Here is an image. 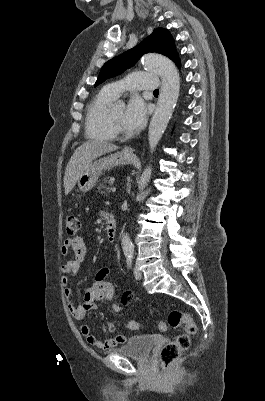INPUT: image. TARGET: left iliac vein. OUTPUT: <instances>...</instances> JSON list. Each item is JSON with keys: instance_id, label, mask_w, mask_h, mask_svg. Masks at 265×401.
Masks as SVG:
<instances>
[{"instance_id": "obj_1", "label": "left iliac vein", "mask_w": 265, "mask_h": 401, "mask_svg": "<svg viewBox=\"0 0 265 401\" xmlns=\"http://www.w3.org/2000/svg\"><path fill=\"white\" fill-rule=\"evenodd\" d=\"M134 277L137 280H140L142 277V273L139 271L137 267H134Z\"/></svg>"}]
</instances>
